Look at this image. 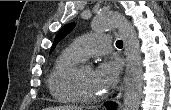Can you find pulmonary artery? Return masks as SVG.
<instances>
[{"instance_id":"pulmonary-artery-1","label":"pulmonary artery","mask_w":171,"mask_h":110,"mask_svg":"<svg viewBox=\"0 0 171 110\" xmlns=\"http://www.w3.org/2000/svg\"><path fill=\"white\" fill-rule=\"evenodd\" d=\"M72 46L86 58L91 55L107 54L111 48V39L106 34L94 33L75 39Z\"/></svg>"}]
</instances>
